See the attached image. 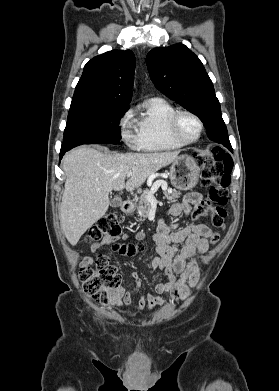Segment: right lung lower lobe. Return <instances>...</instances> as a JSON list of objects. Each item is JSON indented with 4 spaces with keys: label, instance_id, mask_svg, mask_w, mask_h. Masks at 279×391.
Returning <instances> with one entry per match:
<instances>
[{
    "label": "right lung lower lobe",
    "instance_id": "right-lung-lower-lobe-1",
    "mask_svg": "<svg viewBox=\"0 0 279 391\" xmlns=\"http://www.w3.org/2000/svg\"><path fill=\"white\" fill-rule=\"evenodd\" d=\"M101 143H112V144H117L118 142H115V141H110V140H105V141H103V142H101ZM100 143V144H101ZM68 150H61V152H60V158H62V156L65 154V152H67Z\"/></svg>",
    "mask_w": 279,
    "mask_h": 391
}]
</instances>
